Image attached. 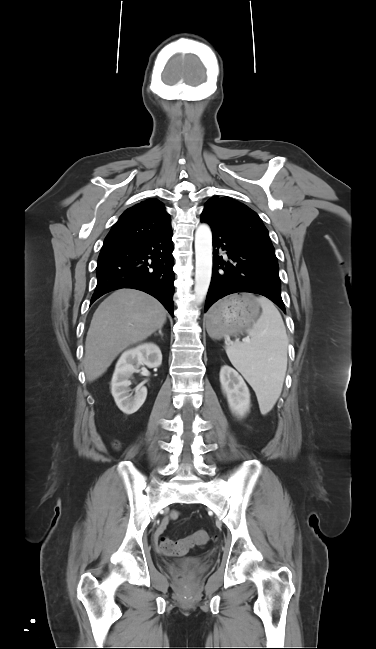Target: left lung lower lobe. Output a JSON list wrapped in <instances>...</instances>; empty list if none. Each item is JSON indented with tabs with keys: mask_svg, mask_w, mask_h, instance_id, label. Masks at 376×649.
<instances>
[{
	"mask_svg": "<svg viewBox=\"0 0 376 649\" xmlns=\"http://www.w3.org/2000/svg\"><path fill=\"white\" fill-rule=\"evenodd\" d=\"M201 221L210 225L215 248L204 311L226 295L250 292L267 297L285 313L275 252L215 225L203 216ZM219 250L226 251L227 260L218 256Z\"/></svg>",
	"mask_w": 376,
	"mask_h": 649,
	"instance_id": "left-lung-lower-lobe-1",
	"label": "left lung lower lobe"
}]
</instances>
